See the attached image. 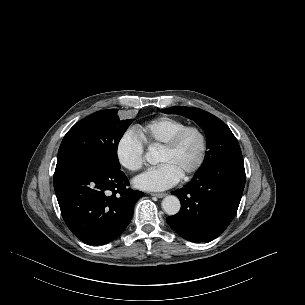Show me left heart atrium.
<instances>
[{"instance_id":"obj_1","label":"left heart atrium","mask_w":305,"mask_h":305,"mask_svg":"<svg viewBox=\"0 0 305 305\" xmlns=\"http://www.w3.org/2000/svg\"><path fill=\"white\" fill-rule=\"evenodd\" d=\"M182 174L170 163H162L136 177L134 185L142 190L162 191L176 185Z\"/></svg>"}]
</instances>
